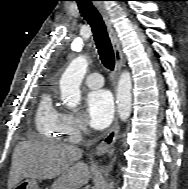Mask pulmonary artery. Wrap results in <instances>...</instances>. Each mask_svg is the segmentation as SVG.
I'll return each instance as SVG.
<instances>
[{
  "label": "pulmonary artery",
  "instance_id": "pulmonary-artery-1",
  "mask_svg": "<svg viewBox=\"0 0 188 189\" xmlns=\"http://www.w3.org/2000/svg\"><path fill=\"white\" fill-rule=\"evenodd\" d=\"M85 83L90 88H99L103 86L104 79L99 73H91L86 76Z\"/></svg>",
  "mask_w": 188,
  "mask_h": 189
}]
</instances>
